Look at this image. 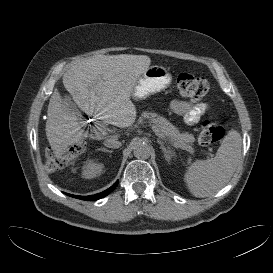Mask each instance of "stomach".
I'll list each match as a JSON object with an SVG mask.
<instances>
[{"instance_id":"stomach-1","label":"stomach","mask_w":273,"mask_h":273,"mask_svg":"<svg viewBox=\"0 0 273 273\" xmlns=\"http://www.w3.org/2000/svg\"><path fill=\"white\" fill-rule=\"evenodd\" d=\"M172 81L170 72L163 66L149 67L135 83L131 97L134 100H142L166 89Z\"/></svg>"}]
</instances>
